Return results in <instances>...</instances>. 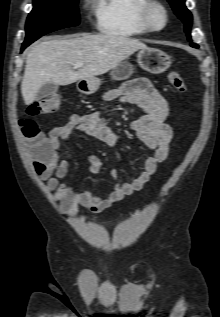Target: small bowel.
Instances as JSON below:
<instances>
[{
  "label": "small bowel",
  "mask_w": 220,
  "mask_h": 317,
  "mask_svg": "<svg viewBox=\"0 0 220 317\" xmlns=\"http://www.w3.org/2000/svg\"><path fill=\"white\" fill-rule=\"evenodd\" d=\"M116 98L123 104L136 105L145 112L133 121L132 129L137 138L151 150V155L145 158L142 168L132 181L121 183L118 172L113 170L110 176L114 188L105 197H100L91 190H74L69 185L61 183V179L68 174L70 168L69 160H59L61 142H67L74 132H82L108 146L117 147L123 137L113 131L95 112L71 115L65 124L49 132L54 149L52 161L43 169L36 168L40 179L46 182L49 191L55 192V200L68 216L76 215L79 207L91 213H99L132 193L140 191L168 156L173 138V131L166 124L169 106L151 82L146 78H137L104 95L107 101ZM87 160L91 173L97 174L102 170L104 163L99 157L88 153Z\"/></svg>",
  "instance_id": "c3829d8e"
}]
</instances>
